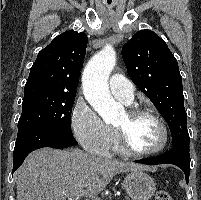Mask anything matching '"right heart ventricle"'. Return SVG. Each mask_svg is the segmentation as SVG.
Wrapping results in <instances>:
<instances>
[{"label": "right heart ventricle", "mask_w": 201, "mask_h": 200, "mask_svg": "<svg viewBox=\"0 0 201 200\" xmlns=\"http://www.w3.org/2000/svg\"><path fill=\"white\" fill-rule=\"evenodd\" d=\"M111 148H112V151L115 152V153H118V154H123L124 153V151L121 149V147L119 145L118 136H117V134L115 132H114Z\"/></svg>", "instance_id": "1"}]
</instances>
